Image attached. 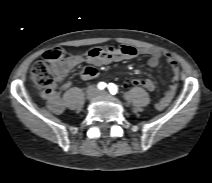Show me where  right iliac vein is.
Instances as JSON below:
<instances>
[{
    "mask_svg": "<svg viewBox=\"0 0 212 183\" xmlns=\"http://www.w3.org/2000/svg\"><path fill=\"white\" fill-rule=\"evenodd\" d=\"M96 97V93L95 92H91V93H89V95H88V98L91 100V99H93V98H95Z\"/></svg>",
    "mask_w": 212,
    "mask_h": 183,
    "instance_id": "right-iliac-vein-1",
    "label": "right iliac vein"
}]
</instances>
